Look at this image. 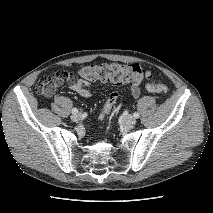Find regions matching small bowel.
I'll return each mask as SVG.
<instances>
[{
	"mask_svg": "<svg viewBox=\"0 0 213 213\" xmlns=\"http://www.w3.org/2000/svg\"><path fill=\"white\" fill-rule=\"evenodd\" d=\"M59 84L60 83H51L42 94L47 97L52 96ZM69 87L72 91L78 93L80 96L84 98H88L92 93V86L86 80H81V79L73 80L70 82ZM131 93L133 97H138L140 94V91L138 88L134 87L131 89Z\"/></svg>",
	"mask_w": 213,
	"mask_h": 213,
	"instance_id": "small-bowel-1",
	"label": "small bowel"
}]
</instances>
